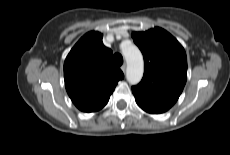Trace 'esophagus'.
Returning a JSON list of instances; mask_svg holds the SVG:
<instances>
[{"instance_id": "esophagus-1", "label": "esophagus", "mask_w": 230, "mask_h": 155, "mask_svg": "<svg viewBox=\"0 0 230 155\" xmlns=\"http://www.w3.org/2000/svg\"><path fill=\"white\" fill-rule=\"evenodd\" d=\"M121 70L125 73L126 72V64H123L122 66H121Z\"/></svg>"}]
</instances>
